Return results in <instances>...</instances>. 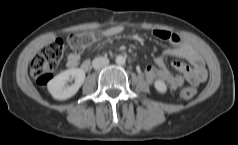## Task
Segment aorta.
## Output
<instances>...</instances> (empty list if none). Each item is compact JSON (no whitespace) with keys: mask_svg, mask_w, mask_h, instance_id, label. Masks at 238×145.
<instances>
[{"mask_svg":"<svg viewBox=\"0 0 238 145\" xmlns=\"http://www.w3.org/2000/svg\"><path fill=\"white\" fill-rule=\"evenodd\" d=\"M115 61H116V63H117L118 65H123V64H125V62H126V58H125L124 56H122V55H118V56L116 57Z\"/></svg>","mask_w":238,"mask_h":145,"instance_id":"aorta-1","label":"aorta"}]
</instances>
